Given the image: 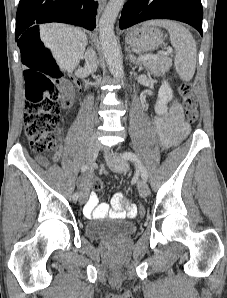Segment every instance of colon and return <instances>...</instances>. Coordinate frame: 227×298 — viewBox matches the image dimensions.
I'll return each instance as SVG.
<instances>
[{
  "label": "colon",
  "instance_id": "colon-1",
  "mask_svg": "<svg viewBox=\"0 0 227 298\" xmlns=\"http://www.w3.org/2000/svg\"><path fill=\"white\" fill-rule=\"evenodd\" d=\"M25 65V135L33 151L51 152L56 148L54 131L60 119L62 104L59 102L58 88L50 76L54 77L58 73L49 56L39 47L26 56ZM179 92L186 121L196 123L199 119L198 101L191 85L182 83ZM92 188L101 190L103 183L95 179L92 181ZM138 213H141V218L145 217L144 208H138Z\"/></svg>",
  "mask_w": 227,
  "mask_h": 298
}]
</instances>
